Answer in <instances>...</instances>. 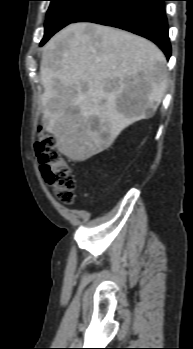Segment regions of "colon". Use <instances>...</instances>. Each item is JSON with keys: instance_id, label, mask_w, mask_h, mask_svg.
Returning a JSON list of instances; mask_svg holds the SVG:
<instances>
[{"instance_id": "5ec220e1", "label": "colon", "mask_w": 193, "mask_h": 349, "mask_svg": "<svg viewBox=\"0 0 193 349\" xmlns=\"http://www.w3.org/2000/svg\"><path fill=\"white\" fill-rule=\"evenodd\" d=\"M34 147L44 180L54 189L59 201L71 204L75 192L73 170L58 152L55 137L40 133Z\"/></svg>"}]
</instances>
